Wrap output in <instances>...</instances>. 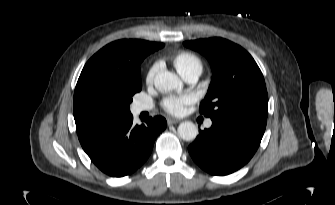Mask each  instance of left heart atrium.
Returning a JSON list of instances; mask_svg holds the SVG:
<instances>
[{
	"label": "left heart atrium",
	"instance_id": "left-heart-atrium-1",
	"mask_svg": "<svg viewBox=\"0 0 335 205\" xmlns=\"http://www.w3.org/2000/svg\"><path fill=\"white\" fill-rule=\"evenodd\" d=\"M194 98L192 95L185 94L181 96H168L163 100L164 109L174 115L184 113L186 106L192 104Z\"/></svg>",
	"mask_w": 335,
	"mask_h": 205
}]
</instances>
